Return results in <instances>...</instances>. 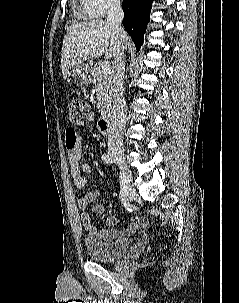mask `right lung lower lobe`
I'll return each mask as SVG.
<instances>
[{
	"instance_id": "98d812e1",
	"label": "right lung lower lobe",
	"mask_w": 239,
	"mask_h": 303,
	"mask_svg": "<svg viewBox=\"0 0 239 303\" xmlns=\"http://www.w3.org/2000/svg\"><path fill=\"white\" fill-rule=\"evenodd\" d=\"M153 0H123V25L135 43L137 51L140 50L144 40L146 25L150 19Z\"/></svg>"
}]
</instances>
